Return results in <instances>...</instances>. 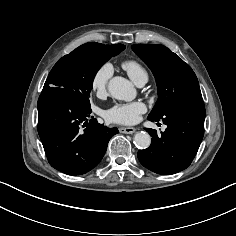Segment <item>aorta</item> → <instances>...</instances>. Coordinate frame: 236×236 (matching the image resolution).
Returning a JSON list of instances; mask_svg holds the SVG:
<instances>
[{"instance_id": "aorta-1", "label": "aorta", "mask_w": 236, "mask_h": 236, "mask_svg": "<svg viewBox=\"0 0 236 236\" xmlns=\"http://www.w3.org/2000/svg\"><path fill=\"white\" fill-rule=\"evenodd\" d=\"M108 91L118 100L131 101L136 97V89L133 84L121 77H113L108 83ZM134 143L139 149H147L151 144V137L147 132L141 131L135 134Z\"/></svg>"}]
</instances>
